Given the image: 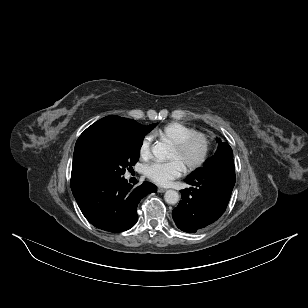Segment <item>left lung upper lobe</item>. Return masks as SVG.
Masks as SVG:
<instances>
[{
    "instance_id": "5c2ea615",
    "label": "left lung upper lobe",
    "mask_w": 308,
    "mask_h": 308,
    "mask_svg": "<svg viewBox=\"0 0 308 308\" xmlns=\"http://www.w3.org/2000/svg\"><path fill=\"white\" fill-rule=\"evenodd\" d=\"M217 142L219 143L218 149H217L216 153L205 162L204 168H207V167L214 165V164L221 162V161H228V160L233 161V151H232L231 147L228 145V143H226V142L223 143L218 138H217ZM203 169H199L191 175H194V174L200 172Z\"/></svg>"
}]
</instances>
